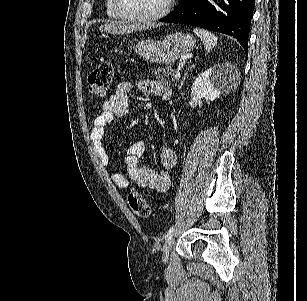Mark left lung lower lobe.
<instances>
[{
    "label": "left lung lower lobe",
    "mask_w": 307,
    "mask_h": 301,
    "mask_svg": "<svg viewBox=\"0 0 307 301\" xmlns=\"http://www.w3.org/2000/svg\"><path fill=\"white\" fill-rule=\"evenodd\" d=\"M227 1L217 3L220 7L217 9L209 0H182L172 13L160 21L184 23L225 33L236 38L247 50L255 0Z\"/></svg>",
    "instance_id": "1"
}]
</instances>
